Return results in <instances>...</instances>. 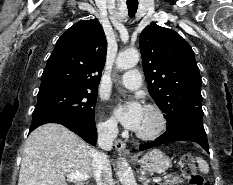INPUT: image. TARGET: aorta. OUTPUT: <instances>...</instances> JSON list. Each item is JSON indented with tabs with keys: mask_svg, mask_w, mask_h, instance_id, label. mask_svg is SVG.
Wrapping results in <instances>:
<instances>
[{
	"mask_svg": "<svg viewBox=\"0 0 233 185\" xmlns=\"http://www.w3.org/2000/svg\"><path fill=\"white\" fill-rule=\"evenodd\" d=\"M139 52L137 50H126L120 52L116 58V66L120 70H127L134 67L139 61ZM117 174L121 185H137L128 162L121 158L117 165Z\"/></svg>",
	"mask_w": 233,
	"mask_h": 185,
	"instance_id": "aorta-1",
	"label": "aorta"
}]
</instances>
